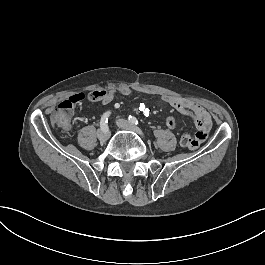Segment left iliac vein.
<instances>
[{
  "mask_svg": "<svg viewBox=\"0 0 265 265\" xmlns=\"http://www.w3.org/2000/svg\"><path fill=\"white\" fill-rule=\"evenodd\" d=\"M117 125L122 129L133 131L140 136H144L143 132L138 127L134 126L133 124H131L129 121L125 119H118Z\"/></svg>",
  "mask_w": 265,
  "mask_h": 265,
  "instance_id": "obj_1",
  "label": "left iliac vein"
}]
</instances>
